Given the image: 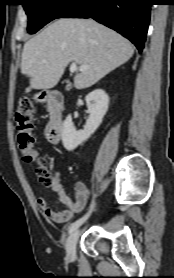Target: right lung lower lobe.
I'll list each match as a JSON object with an SVG mask.
<instances>
[{"instance_id": "right-lung-lower-lobe-1", "label": "right lung lower lobe", "mask_w": 174, "mask_h": 278, "mask_svg": "<svg viewBox=\"0 0 174 278\" xmlns=\"http://www.w3.org/2000/svg\"><path fill=\"white\" fill-rule=\"evenodd\" d=\"M151 0H78L61 17L93 18L128 38L141 52Z\"/></svg>"}]
</instances>
